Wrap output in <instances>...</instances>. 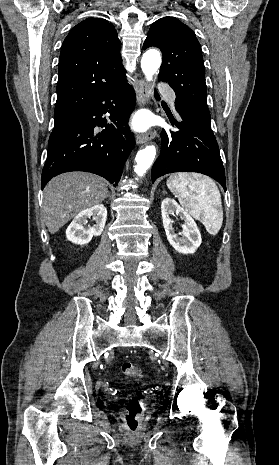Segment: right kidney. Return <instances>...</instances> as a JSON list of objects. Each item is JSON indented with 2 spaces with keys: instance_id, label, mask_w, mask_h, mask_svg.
I'll return each mask as SVG.
<instances>
[{
  "instance_id": "obj_1",
  "label": "right kidney",
  "mask_w": 279,
  "mask_h": 465,
  "mask_svg": "<svg viewBox=\"0 0 279 465\" xmlns=\"http://www.w3.org/2000/svg\"><path fill=\"white\" fill-rule=\"evenodd\" d=\"M93 217L95 224L88 225L87 219ZM107 218V209L103 204H98L87 208L74 218L66 229V238L78 245L88 244L93 236H100L104 230Z\"/></svg>"
}]
</instances>
